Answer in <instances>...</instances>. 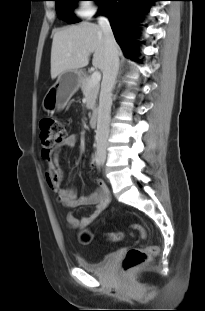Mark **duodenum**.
Instances as JSON below:
<instances>
[{
  "instance_id": "obj_1",
  "label": "duodenum",
  "mask_w": 205,
  "mask_h": 311,
  "mask_svg": "<svg viewBox=\"0 0 205 311\" xmlns=\"http://www.w3.org/2000/svg\"><path fill=\"white\" fill-rule=\"evenodd\" d=\"M89 122L92 126H96L98 123V109L94 108L91 110L89 115Z\"/></svg>"
}]
</instances>
